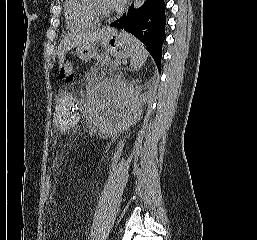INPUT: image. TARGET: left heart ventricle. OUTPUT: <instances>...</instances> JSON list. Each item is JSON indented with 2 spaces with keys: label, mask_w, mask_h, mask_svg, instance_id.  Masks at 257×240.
Returning <instances> with one entry per match:
<instances>
[{
  "label": "left heart ventricle",
  "mask_w": 257,
  "mask_h": 240,
  "mask_svg": "<svg viewBox=\"0 0 257 240\" xmlns=\"http://www.w3.org/2000/svg\"><path fill=\"white\" fill-rule=\"evenodd\" d=\"M94 6L100 13H106L112 10L109 0H94Z\"/></svg>",
  "instance_id": "obj_1"
}]
</instances>
